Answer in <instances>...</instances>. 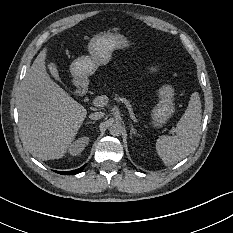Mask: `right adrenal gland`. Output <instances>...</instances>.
<instances>
[{
    "instance_id": "right-adrenal-gland-1",
    "label": "right adrenal gland",
    "mask_w": 233,
    "mask_h": 233,
    "mask_svg": "<svg viewBox=\"0 0 233 233\" xmlns=\"http://www.w3.org/2000/svg\"><path fill=\"white\" fill-rule=\"evenodd\" d=\"M86 124H95V121H89Z\"/></svg>"
}]
</instances>
